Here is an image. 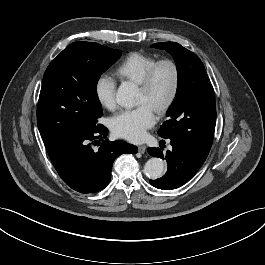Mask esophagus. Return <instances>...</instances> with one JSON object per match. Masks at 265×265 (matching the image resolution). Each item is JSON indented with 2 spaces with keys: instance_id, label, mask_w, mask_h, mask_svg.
I'll return each mask as SVG.
<instances>
[{
  "instance_id": "34e87169",
  "label": "esophagus",
  "mask_w": 265,
  "mask_h": 265,
  "mask_svg": "<svg viewBox=\"0 0 265 265\" xmlns=\"http://www.w3.org/2000/svg\"><path fill=\"white\" fill-rule=\"evenodd\" d=\"M138 151L140 152V153H145V151H146V146L145 145H140V146H138Z\"/></svg>"
}]
</instances>
